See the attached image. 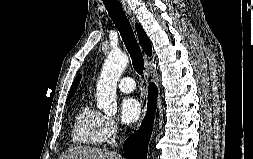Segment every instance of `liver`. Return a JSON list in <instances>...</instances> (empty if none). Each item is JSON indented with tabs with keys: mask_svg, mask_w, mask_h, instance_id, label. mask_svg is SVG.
<instances>
[{
	"mask_svg": "<svg viewBox=\"0 0 253 159\" xmlns=\"http://www.w3.org/2000/svg\"><path fill=\"white\" fill-rule=\"evenodd\" d=\"M59 159H122V157L106 149L78 146L63 153Z\"/></svg>",
	"mask_w": 253,
	"mask_h": 159,
	"instance_id": "1",
	"label": "liver"
}]
</instances>
